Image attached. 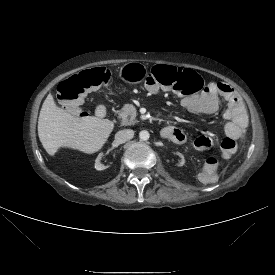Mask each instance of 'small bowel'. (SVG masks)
Wrapping results in <instances>:
<instances>
[{"label": "small bowel", "mask_w": 275, "mask_h": 275, "mask_svg": "<svg viewBox=\"0 0 275 275\" xmlns=\"http://www.w3.org/2000/svg\"><path fill=\"white\" fill-rule=\"evenodd\" d=\"M225 102L226 109L222 113L225 134L233 139L242 141L248 127V116L240 96L229 85L222 83L210 84L201 94L186 97L183 105L191 112L197 114H212L218 111ZM162 136L175 143H184L187 139L185 133L175 127H166ZM212 139L205 134L195 133L187 141V148L192 153L204 156L201 161L197 180L205 187H212L219 181L221 172L217 154L212 150Z\"/></svg>", "instance_id": "1"}]
</instances>
